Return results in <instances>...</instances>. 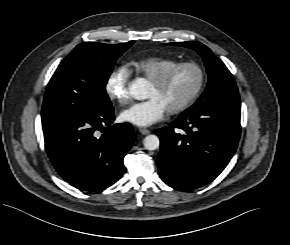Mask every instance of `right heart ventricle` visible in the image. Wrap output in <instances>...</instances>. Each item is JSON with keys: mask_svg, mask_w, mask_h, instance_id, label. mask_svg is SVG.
Returning a JSON list of instances; mask_svg holds the SVG:
<instances>
[{"mask_svg": "<svg viewBox=\"0 0 290 245\" xmlns=\"http://www.w3.org/2000/svg\"><path fill=\"white\" fill-rule=\"evenodd\" d=\"M176 63H178V61L172 58L151 56L130 60L126 65V68L129 72H133L138 76L152 80L162 71Z\"/></svg>", "mask_w": 290, "mask_h": 245, "instance_id": "obj_1", "label": "right heart ventricle"}]
</instances>
